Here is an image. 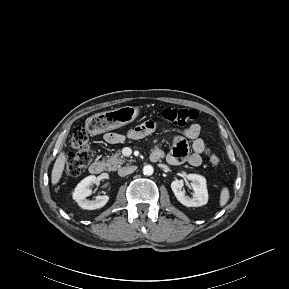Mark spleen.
<instances>
[{
  "label": "spleen",
  "mask_w": 289,
  "mask_h": 289,
  "mask_svg": "<svg viewBox=\"0 0 289 289\" xmlns=\"http://www.w3.org/2000/svg\"><path fill=\"white\" fill-rule=\"evenodd\" d=\"M229 198H230L229 189L224 186L220 192V201H219L220 207L225 206L227 204Z\"/></svg>",
  "instance_id": "3e777b00"
}]
</instances>
